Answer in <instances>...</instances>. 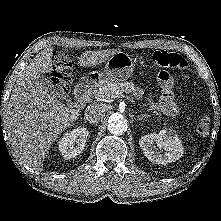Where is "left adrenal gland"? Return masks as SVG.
I'll use <instances>...</instances> for the list:
<instances>
[{
    "label": "left adrenal gland",
    "mask_w": 221,
    "mask_h": 221,
    "mask_svg": "<svg viewBox=\"0 0 221 221\" xmlns=\"http://www.w3.org/2000/svg\"><path fill=\"white\" fill-rule=\"evenodd\" d=\"M148 117H150V116L149 115H138L137 120L141 121V120L148 118Z\"/></svg>",
    "instance_id": "a2214340"
}]
</instances>
